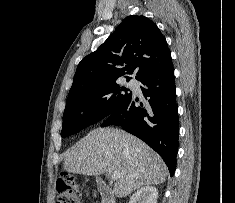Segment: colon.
I'll return each instance as SVG.
<instances>
[{
    "mask_svg": "<svg viewBox=\"0 0 235 203\" xmlns=\"http://www.w3.org/2000/svg\"><path fill=\"white\" fill-rule=\"evenodd\" d=\"M57 201L56 203H80V193L70 176H63L57 181Z\"/></svg>",
    "mask_w": 235,
    "mask_h": 203,
    "instance_id": "5ec220e1",
    "label": "colon"
}]
</instances>
